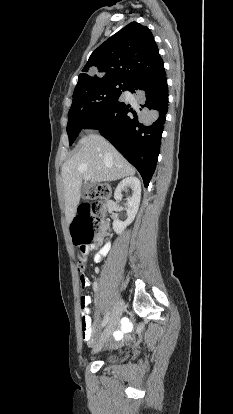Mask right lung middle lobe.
Here are the masks:
<instances>
[{"label": "right lung middle lobe", "mask_w": 233, "mask_h": 414, "mask_svg": "<svg viewBox=\"0 0 233 414\" xmlns=\"http://www.w3.org/2000/svg\"><path fill=\"white\" fill-rule=\"evenodd\" d=\"M128 83L123 81H104L73 94L68 113L67 133L70 145L83 129L84 125L115 104Z\"/></svg>", "instance_id": "1"}]
</instances>
